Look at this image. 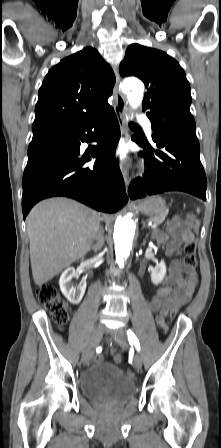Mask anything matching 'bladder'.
Returning a JSON list of instances; mask_svg holds the SVG:
<instances>
[{
    "instance_id": "bladder-1",
    "label": "bladder",
    "mask_w": 221,
    "mask_h": 448,
    "mask_svg": "<svg viewBox=\"0 0 221 448\" xmlns=\"http://www.w3.org/2000/svg\"><path fill=\"white\" fill-rule=\"evenodd\" d=\"M82 395L96 403L119 405L135 393L134 381L121 368L102 362L85 371L79 380Z\"/></svg>"
}]
</instances>
